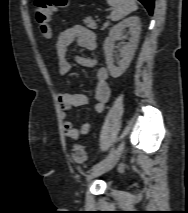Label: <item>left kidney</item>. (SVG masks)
Wrapping results in <instances>:
<instances>
[{"instance_id":"1","label":"left kidney","mask_w":188,"mask_h":213,"mask_svg":"<svg viewBox=\"0 0 188 213\" xmlns=\"http://www.w3.org/2000/svg\"><path fill=\"white\" fill-rule=\"evenodd\" d=\"M128 28L130 33L129 42L126 43L121 50L122 59L115 65L113 59L114 42L123 38L124 30ZM141 31L140 19L137 16H132L114 25L109 32L108 37L104 41L103 49L106 57V64L113 78L120 77L129 67L134 53L137 49L139 36Z\"/></svg>"}]
</instances>
